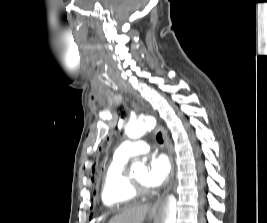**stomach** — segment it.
Instances as JSON below:
<instances>
[{"label":"stomach","instance_id":"obj_1","mask_svg":"<svg viewBox=\"0 0 267 223\" xmlns=\"http://www.w3.org/2000/svg\"><path fill=\"white\" fill-rule=\"evenodd\" d=\"M155 215H156L155 212H152V211H151V212L149 213L150 218H153Z\"/></svg>","mask_w":267,"mask_h":223}]
</instances>
